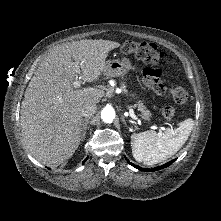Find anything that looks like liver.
<instances>
[{
    "label": "liver",
    "mask_w": 221,
    "mask_h": 221,
    "mask_svg": "<svg viewBox=\"0 0 221 221\" xmlns=\"http://www.w3.org/2000/svg\"><path fill=\"white\" fill-rule=\"evenodd\" d=\"M109 40H80L52 49L29 82L21 104L20 125L29 152L41 163L56 167L71 158L81 141V109L97 104L104 91L74 89L80 79L96 82L104 71L108 53L119 47Z\"/></svg>",
    "instance_id": "1"
}]
</instances>
